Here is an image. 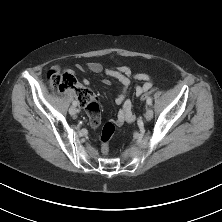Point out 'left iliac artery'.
<instances>
[{
	"label": "left iliac artery",
	"instance_id": "44dca946",
	"mask_svg": "<svg viewBox=\"0 0 222 222\" xmlns=\"http://www.w3.org/2000/svg\"><path fill=\"white\" fill-rule=\"evenodd\" d=\"M146 103L148 105H151L152 104V98L151 97H148L147 100H146Z\"/></svg>",
	"mask_w": 222,
	"mask_h": 222
}]
</instances>
